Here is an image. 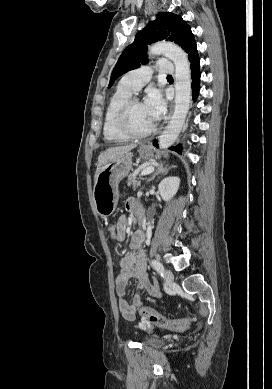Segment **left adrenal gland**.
<instances>
[{"label": "left adrenal gland", "instance_id": "1", "mask_svg": "<svg viewBox=\"0 0 272 389\" xmlns=\"http://www.w3.org/2000/svg\"><path fill=\"white\" fill-rule=\"evenodd\" d=\"M168 170H169V168L166 166V167H164V164L163 163H161L158 167H157V169H156V171H155V173L152 175V177L150 178V179H148V182H150V181H152L153 179H155V177L157 176V175H159V174H166L167 172H168Z\"/></svg>", "mask_w": 272, "mask_h": 389}]
</instances>
